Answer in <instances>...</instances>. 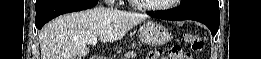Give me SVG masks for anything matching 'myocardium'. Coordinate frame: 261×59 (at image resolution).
Returning <instances> with one entry per match:
<instances>
[{"label": "myocardium", "mask_w": 261, "mask_h": 59, "mask_svg": "<svg viewBox=\"0 0 261 59\" xmlns=\"http://www.w3.org/2000/svg\"><path fill=\"white\" fill-rule=\"evenodd\" d=\"M179 0H170L169 3L163 4V5H153V4H146L142 3L140 1L133 0L132 2L138 6L139 8L143 10H150V11H162L167 10L174 6L175 3H177Z\"/></svg>", "instance_id": "obj_1"}]
</instances>
